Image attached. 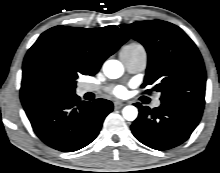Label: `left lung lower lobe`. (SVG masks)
<instances>
[{"label": "left lung lower lobe", "mask_w": 220, "mask_h": 173, "mask_svg": "<svg viewBox=\"0 0 220 173\" xmlns=\"http://www.w3.org/2000/svg\"><path fill=\"white\" fill-rule=\"evenodd\" d=\"M139 108L138 118L133 122V135L146 146L167 150L186 141L198 125L203 109L174 101H161L150 110L135 103Z\"/></svg>", "instance_id": "0a47b994"}]
</instances>
